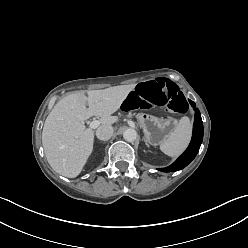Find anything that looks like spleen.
I'll return each instance as SVG.
<instances>
[{
  "mask_svg": "<svg viewBox=\"0 0 248 248\" xmlns=\"http://www.w3.org/2000/svg\"><path fill=\"white\" fill-rule=\"evenodd\" d=\"M192 127L188 117H182L169 137L160 145V149L168 156L180 155L191 139Z\"/></svg>",
  "mask_w": 248,
  "mask_h": 248,
  "instance_id": "1",
  "label": "spleen"
}]
</instances>
